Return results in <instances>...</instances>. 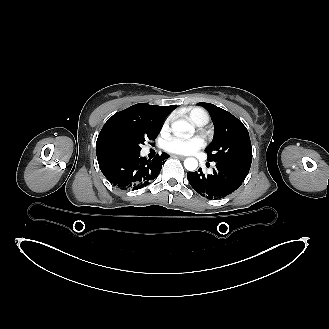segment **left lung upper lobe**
Returning <instances> with one entry per match:
<instances>
[{
  "label": "left lung upper lobe",
  "instance_id": "1",
  "mask_svg": "<svg viewBox=\"0 0 329 329\" xmlns=\"http://www.w3.org/2000/svg\"><path fill=\"white\" fill-rule=\"evenodd\" d=\"M211 115L215 132L211 144L205 149L208 161L225 164L249 173L252 147L248 130L231 113L210 103L200 102Z\"/></svg>",
  "mask_w": 329,
  "mask_h": 329
}]
</instances>
